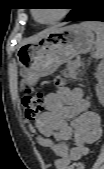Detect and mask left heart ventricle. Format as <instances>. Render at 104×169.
<instances>
[{
    "mask_svg": "<svg viewBox=\"0 0 104 169\" xmlns=\"http://www.w3.org/2000/svg\"><path fill=\"white\" fill-rule=\"evenodd\" d=\"M58 12L57 9H38L36 11V16L39 20L48 21L53 19Z\"/></svg>",
    "mask_w": 104,
    "mask_h": 169,
    "instance_id": "b2bd125f",
    "label": "left heart ventricle"
}]
</instances>
